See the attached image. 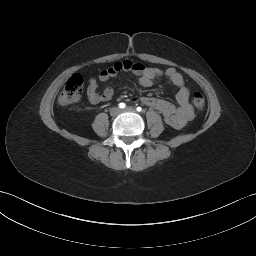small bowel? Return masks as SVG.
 Returning a JSON list of instances; mask_svg holds the SVG:
<instances>
[{"instance_id": "c3829d8e", "label": "small bowel", "mask_w": 256, "mask_h": 256, "mask_svg": "<svg viewBox=\"0 0 256 256\" xmlns=\"http://www.w3.org/2000/svg\"><path fill=\"white\" fill-rule=\"evenodd\" d=\"M120 72H131L137 75L138 83L142 87L152 86L155 79L166 76L175 86L178 87L176 94L177 105L165 99L141 96L139 100L146 106L152 107L157 110L164 118L165 122L173 128L179 129L185 126L193 118V111L188 102L189 89L184 83L181 73L170 67L165 71L157 68L146 66L140 62H132L130 60L117 61L112 66L100 71L98 80L102 83L107 82L109 79L115 77ZM114 95L112 87H106L102 93L98 91V81L91 78L88 81L87 97L90 103L98 104L101 102L109 101Z\"/></svg>"}]
</instances>
